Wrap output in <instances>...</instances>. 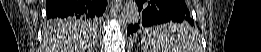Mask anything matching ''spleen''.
I'll return each mask as SVG.
<instances>
[{
    "label": "spleen",
    "instance_id": "3e777b00",
    "mask_svg": "<svg viewBox=\"0 0 261 52\" xmlns=\"http://www.w3.org/2000/svg\"><path fill=\"white\" fill-rule=\"evenodd\" d=\"M184 23L174 24L169 23L148 29L144 32L142 39L143 49L145 52H194V40L189 35L177 34L185 32ZM176 36V37H175Z\"/></svg>",
    "mask_w": 261,
    "mask_h": 52
}]
</instances>
